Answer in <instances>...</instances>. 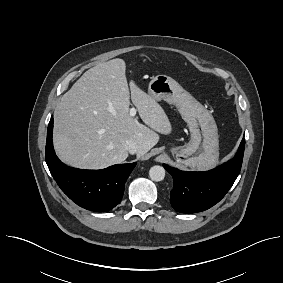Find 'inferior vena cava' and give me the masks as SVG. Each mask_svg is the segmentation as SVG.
<instances>
[{
    "label": "inferior vena cava",
    "mask_w": 283,
    "mask_h": 283,
    "mask_svg": "<svg viewBox=\"0 0 283 283\" xmlns=\"http://www.w3.org/2000/svg\"><path fill=\"white\" fill-rule=\"evenodd\" d=\"M125 148L130 154H135V153H138L139 151L138 144L132 140L126 141Z\"/></svg>",
    "instance_id": "602c4592"
}]
</instances>
